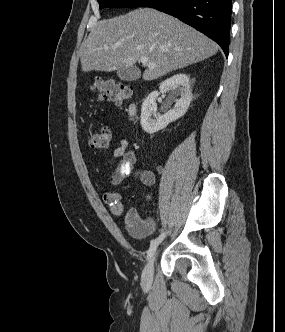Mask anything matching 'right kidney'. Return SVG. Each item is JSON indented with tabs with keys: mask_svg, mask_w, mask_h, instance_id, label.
<instances>
[{
	"mask_svg": "<svg viewBox=\"0 0 285 332\" xmlns=\"http://www.w3.org/2000/svg\"><path fill=\"white\" fill-rule=\"evenodd\" d=\"M167 91H171L172 97L180 96V98L176 99L173 109L164 115H157L156 98L160 93H166ZM191 100L192 93L188 75L180 73L166 79L160 84L159 92L153 91L142 103L140 124L143 130L153 134L164 129L169 123L176 121L186 113Z\"/></svg>",
	"mask_w": 285,
	"mask_h": 332,
	"instance_id": "ca27d5eb",
	"label": "right kidney"
}]
</instances>
